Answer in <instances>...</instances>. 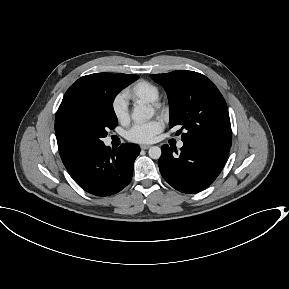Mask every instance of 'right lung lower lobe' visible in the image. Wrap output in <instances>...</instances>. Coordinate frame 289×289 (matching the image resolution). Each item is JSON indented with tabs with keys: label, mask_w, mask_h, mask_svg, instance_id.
Masks as SVG:
<instances>
[{
	"label": "right lung lower lobe",
	"mask_w": 289,
	"mask_h": 289,
	"mask_svg": "<svg viewBox=\"0 0 289 289\" xmlns=\"http://www.w3.org/2000/svg\"><path fill=\"white\" fill-rule=\"evenodd\" d=\"M139 153L140 147L135 144H122L117 150L103 144L65 167L83 190L96 196H110L131 182Z\"/></svg>",
	"instance_id": "1"
}]
</instances>
